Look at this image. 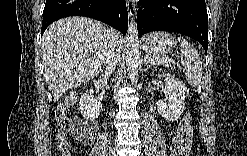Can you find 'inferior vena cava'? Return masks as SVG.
Segmentation results:
<instances>
[{
    "instance_id": "1",
    "label": "inferior vena cava",
    "mask_w": 247,
    "mask_h": 156,
    "mask_svg": "<svg viewBox=\"0 0 247 156\" xmlns=\"http://www.w3.org/2000/svg\"><path fill=\"white\" fill-rule=\"evenodd\" d=\"M110 33L109 41L107 42L106 51L104 53L106 74H111L114 71L121 53L116 31L114 29H110Z\"/></svg>"
}]
</instances>
